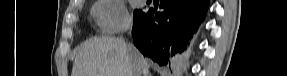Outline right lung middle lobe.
I'll return each mask as SVG.
<instances>
[{
    "mask_svg": "<svg viewBox=\"0 0 287 76\" xmlns=\"http://www.w3.org/2000/svg\"><path fill=\"white\" fill-rule=\"evenodd\" d=\"M142 11H140V10H135L134 11V18L138 15V14H140Z\"/></svg>",
    "mask_w": 287,
    "mask_h": 76,
    "instance_id": "right-lung-middle-lobe-1",
    "label": "right lung middle lobe"
}]
</instances>
